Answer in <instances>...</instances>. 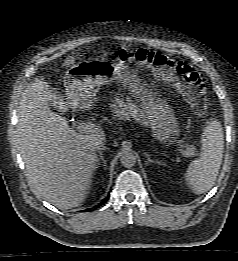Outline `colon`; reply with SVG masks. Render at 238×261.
I'll use <instances>...</instances> for the list:
<instances>
[{
    "label": "colon",
    "instance_id": "colon-1",
    "mask_svg": "<svg viewBox=\"0 0 238 261\" xmlns=\"http://www.w3.org/2000/svg\"><path fill=\"white\" fill-rule=\"evenodd\" d=\"M113 57L121 62L145 68L171 82L197 115L207 114L209 99L205 84L188 63L145 48L118 49L113 53Z\"/></svg>",
    "mask_w": 238,
    "mask_h": 261
}]
</instances>
